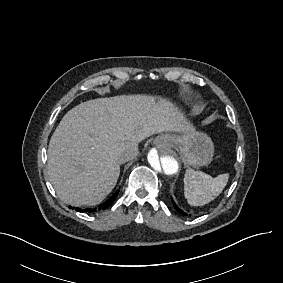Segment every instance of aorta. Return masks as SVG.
Masks as SVG:
<instances>
[{"mask_svg": "<svg viewBox=\"0 0 283 283\" xmlns=\"http://www.w3.org/2000/svg\"><path fill=\"white\" fill-rule=\"evenodd\" d=\"M150 171L156 179L166 180L174 177L180 170L177 154L170 147L157 145L148 152L147 156Z\"/></svg>", "mask_w": 283, "mask_h": 283, "instance_id": "aorta-1", "label": "aorta"}]
</instances>
